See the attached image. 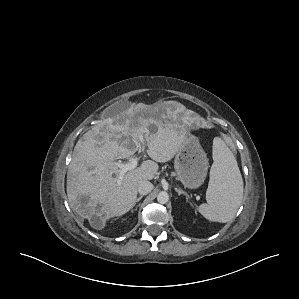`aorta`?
I'll list each match as a JSON object with an SVG mask.
<instances>
[{
    "instance_id": "762f6f07",
    "label": "aorta",
    "mask_w": 299,
    "mask_h": 299,
    "mask_svg": "<svg viewBox=\"0 0 299 299\" xmlns=\"http://www.w3.org/2000/svg\"><path fill=\"white\" fill-rule=\"evenodd\" d=\"M157 201L160 204H166L169 201V195L167 192L162 191L157 196Z\"/></svg>"
}]
</instances>
